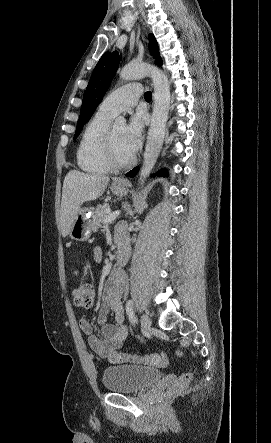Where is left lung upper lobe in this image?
Wrapping results in <instances>:
<instances>
[{
	"label": "left lung upper lobe",
	"instance_id": "5c2ea615",
	"mask_svg": "<svg viewBox=\"0 0 271 443\" xmlns=\"http://www.w3.org/2000/svg\"><path fill=\"white\" fill-rule=\"evenodd\" d=\"M150 40V53L156 61L160 58L158 45L153 35L149 36ZM119 66V55L117 52H106L102 55L97 63L86 91L83 96V102L81 106L80 116L77 122L76 132L74 139L80 134L83 125L91 118L96 107L101 102L103 96L108 90L111 81Z\"/></svg>",
	"mask_w": 271,
	"mask_h": 443
}]
</instances>
